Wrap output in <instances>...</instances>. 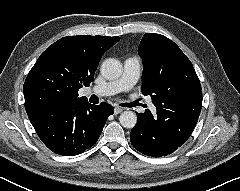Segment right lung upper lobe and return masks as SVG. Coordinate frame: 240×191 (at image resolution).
I'll return each instance as SVG.
<instances>
[{
	"instance_id": "obj_1",
	"label": "right lung upper lobe",
	"mask_w": 240,
	"mask_h": 191,
	"mask_svg": "<svg viewBox=\"0 0 240 191\" xmlns=\"http://www.w3.org/2000/svg\"><path fill=\"white\" fill-rule=\"evenodd\" d=\"M120 40L106 36H67L50 45L38 58L24 83L26 112L67 101L86 102L78 97L89 86L103 53Z\"/></svg>"
}]
</instances>
